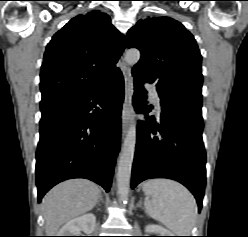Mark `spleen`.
<instances>
[{"label":"spleen","mask_w":248,"mask_h":237,"mask_svg":"<svg viewBox=\"0 0 248 237\" xmlns=\"http://www.w3.org/2000/svg\"><path fill=\"white\" fill-rule=\"evenodd\" d=\"M146 213L158 220L177 236H190L197 215L192 194L178 182L150 179L143 185Z\"/></svg>","instance_id":"spleen-1"}]
</instances>
